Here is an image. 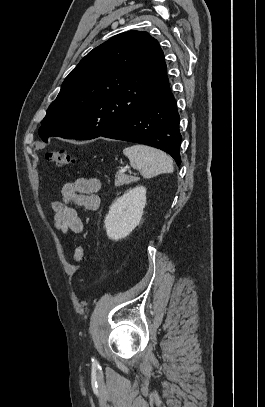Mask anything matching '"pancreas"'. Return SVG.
<instances>
[{
  "mask_svg": "<svg viewBox=\"0 0 265 407\" xmlns=\"http://www.w3.org/2000/svg\"><path fill=\"white\" fill-rule=\"evenodd\" d=\"M137 181H139L138 177L129 176L127 174L119 172V173H117L115 175V182L114 183H115L116 187H119V186H122V185H128V184H130L132 182H137Z\"/></svg>",
  "mask_w": 265,
  "mask_h": 407,
  "instance_id": "cf45deb5",
  "label": "pancreas"
}]
</instances>
